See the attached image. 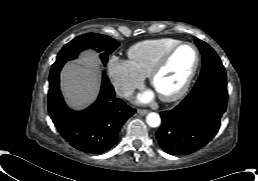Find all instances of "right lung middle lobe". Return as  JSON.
<instances>
[{"label": "right lung middle lobe", "mask_w": 258, "mask_h": 181, "mask_svg": "<svg viewBox=\"0 0 258 181\" xmlns=\"http://www.w3.org/2000/svg\"><path fill=\"white\" fill-rule=\"evenodd\" d=\"M119 46V42L113 38L97 34L88 33L74 38L67 43L59 52L56 62H66L75 59L78 54L84 49H95L100 55V58L105 65L108 60V55Z\"/></svg>", "instance_id": "obj_1"}]
</instances>
